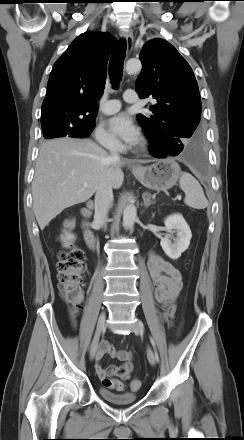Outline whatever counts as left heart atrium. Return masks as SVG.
I'll use <instances>...</instances> for the list:
<instances>
[{"mask_svg": "<svg viewBox=\"0 0 244 440\" xmlns=\"http://www.w3.org/2000/svg\"><path fill=\"white\" fill-rule=\"evenodd\" d=\"M111 132L128 144H135L139 139V130L134 121L125 113H120L109 121Z\"/></svg>", "mask_w": 244, "mask_h": 440, "instance_id": "left-heart-atrium-1", "label": "left heart atrium"}]
</instances>
